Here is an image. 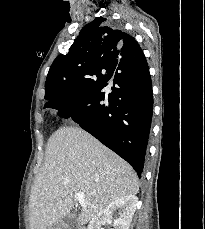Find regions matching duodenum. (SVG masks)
<instances>
[{
  "label": "duodenum",
  "instance_id": "1",
  "mask_svg": "<svg viewBox=\"0 0 205 229\" xmlns=\"http://www.w3.org/2000/svg\"><path fill=\"white\" fill-rule=\"evenodd\" d=\"M78 229H86V228H83V227H82V228H78Z\"/></svg>",
  "mask_w": 205,
  "mask_h": 229
}]
</instances>
